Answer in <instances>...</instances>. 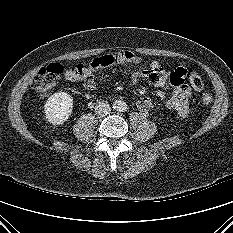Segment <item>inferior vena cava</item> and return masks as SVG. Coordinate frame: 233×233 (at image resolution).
<instances>
[{"label":"inferior vena cava","mask_w":233,"mask_h":233,"mask_svg":"<svg viewBox=\"0 0 233 233\" xmlns=\"http://www.w3.org/2000/svg\"><path fill=\"white\" fill-rule=\"evenodd\" d=\"M111 111V107L107 102H100L95 106V114L98 116H106Z\"/></svg>","instance_id":"602c4592"}]
</instances>
